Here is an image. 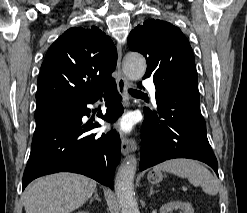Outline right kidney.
I'll list each match as a JSON object with an SVG mask.
<instances>
[{
	"mask_svg": "<svg viewBox=\"0 0 247 213\" xmlns=\"http://www.w3.org/2000/svg\"><path fill=\"white\" fill-rule=\"evenodd\" d=\"M76 213H89V212H86V211H78Z\"/></svg>",
	"mask_w": 247,
	"mask_h": 213,
	"instance_id": "obj_1",
	"label": "right kidney"
}]
</instances>
